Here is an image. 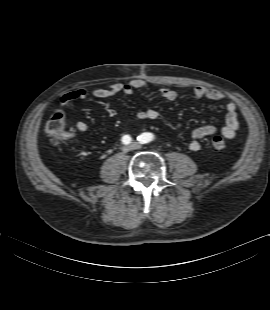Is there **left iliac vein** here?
I'll list each match as a JSON object with an SVG mask.
<instances>
[{
	"label": "left iliac vein",
	"mask_w": 270,
	"mask_h": 310,
	"mask_svg": "<svg viewBox=\"0 0 270 310\" xmlns=\"http://www.w3.org/2000/svg\"><path fill=\"white\" fill-rule=\"evenodd\" d=\"M130 146L133 150L140 149L142 147L139 142H132Z\"/></svg>",
	"instance_id": "obj_1"
}]
</instances>
